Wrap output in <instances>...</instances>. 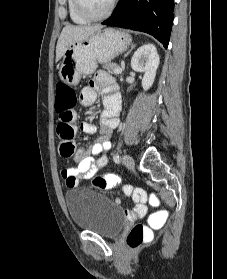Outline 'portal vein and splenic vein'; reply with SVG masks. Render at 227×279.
Masks as SVG:
<instances>
[{"label": "portal vein and splenic vein", "instance_id": "1", "mask_svg": "<svg viewBox=\"0 0 227 279\" xmlns=\"http://www.w3.org/2000/svg\"><path fill=\"white\" fill-rule=\"evenodd\" d=\"M115 72L118 73V74H120V73L122 72V68H121V67H117V68L115 69Z\"/></svg>", "mask_w": 227, "mask_h": 279}]
</instances>
